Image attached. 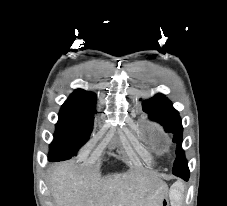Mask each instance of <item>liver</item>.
Returning <instances> with one entry per match:
<instances>
[{
	"label": "liver",
	"instance_id": "1",
	"mask_svg": "<svg viewBox=\"0 0 227 206\" xmlns=\"http://www.w3.org/2000/svg\"><path fill=\"white\" fill-rule=\"evenodd\" d=\"M49 186L56 206H161L168 193L156 175H78L72 162L53 167Z\"/></svg>",
	"mask_w": 227,
	"mask_h": 206
}]
</instances>
